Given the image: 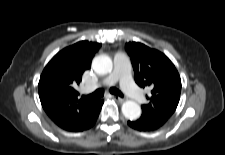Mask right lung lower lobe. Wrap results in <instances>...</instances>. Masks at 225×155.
I'll return each instance as SVG.
<instances>
[{
  "instance_id": "obj_1",
  "label": "right lung lower lobe",
  "mask_w": 225,
  "mask_h": 155,
  "mask_svg": "<svg viewBox=\"0 0 225 155\" xmlns=\"http://www.w3.org/2000/svg\"><path fill=\"white\" fill-rule=\"evenodd\" d=\"M102 104H103V100L98 99L94 111L92 112V114H91L87 124L85 125V127L81 131L87 130V129L91 128L95 124L96 119H97V117L99 115V112L101 110Z\"/></svg>"
}]
</instances>
